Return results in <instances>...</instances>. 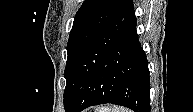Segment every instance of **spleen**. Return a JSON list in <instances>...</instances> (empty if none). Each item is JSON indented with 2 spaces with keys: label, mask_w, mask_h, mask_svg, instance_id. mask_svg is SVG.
Returning <instances> with one entry per match:
<instances>
[{
  "label": "spleen",
  "mask_w": 193,
  "mask_h": 112,
  "mask_svg": "<svg viewBox=\"0 0 193 112\" xmlns=\"http://www.w3.org/2000/svg\"><path fill=\"white\" fill-rule=\"evenodd\" d=\"M98 112H126L124 108H109V107H101Z\"/></svg>",
  "instance_id": "spleen-1"
}]
</instances>
